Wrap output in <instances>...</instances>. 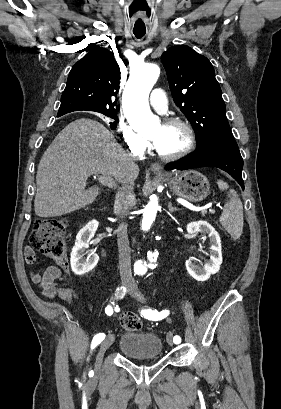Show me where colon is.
I'll use <instances>...</instances> for the list:
<instances>
[{
  "label": "colon",
  "mask_w": 281,
  "mask_h": 409,
  "mask_svg": "<svg viewBox=\"0 0 281 409\" xmlns=\"http://www.w3.org/2000/svg\"><path fill=\"white\" fill-rule=\"evenodd\" d=\"M69 225L66 218L40 217L35 230L29 238L30 246L26 249H40L47 258L53 259L58 265L64 266L67 260V247L64 232ZM120 324L125 329L139 331L142 327L140 317L132 312L123 314Z\"/></svg>",
  "instance_id": "obj_1"
}]
</instances>
